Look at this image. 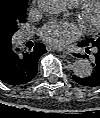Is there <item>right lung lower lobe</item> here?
<instances>
[{
    "label": "right lung lower lobe",
    "instance_id": "1",
    "mask_svg": "<svg viewBox=\"0 0 100 118\" xmlns=\"http://www.w3.org/2000/svg\"><path fill=\"white\" fill-rule=\"evenodd\" d=\"M46 53L45 46L37 43L29 51H20L11 45L0 50V79L12 86L26 84L37 74L39 57Z\"/></svg>",
    "mask_w": 100,
    "mask_h": 118
}]
</instances>
